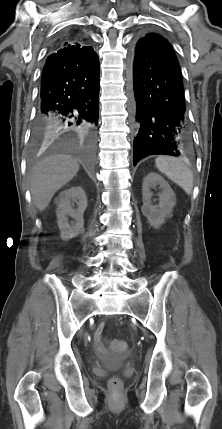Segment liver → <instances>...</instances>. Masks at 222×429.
<instances>
[{
    "mask_svg": "<svg viewBox=\"0 0 222 429\" xmlns=\"http://www.w3.org/2000/svg\"><path fill=\"white\" fill-rule=\"evenodd\" d=\"M79 171L78 161L70 155L49 156L41 160L30 175L33 203L43 211L54 194Z\"/></svg>",
    "mask_w": 222,
    "mask_h": 429,
    "instance_id": "liver-1",
    "label": "liver"
}]
</instances>
